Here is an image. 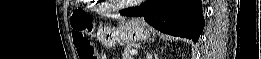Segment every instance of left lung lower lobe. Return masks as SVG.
Segmentation results:
<instances>
[{"label": "left lung lower lobe", "mask_w": 261, "mask_h": 59, "mask_svg": "<svg viewBox=\"0 0 261 59\" xmlns=\"http://www.w3.org/2000/svg\"><path fill=\"white\" fill-rule=\"evenodd\" d=\"M121 15L139 17L157 30L197 42L204 28L200 0H147L120 11Z\"/></svg>", "instance_id": "1"}]
</instances>
